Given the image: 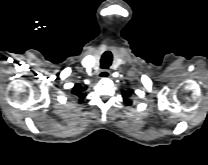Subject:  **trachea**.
<instances>
[{
  "mask_svg": "<svg viewBox=\"0 0 208 165\" xmlns=\"http://www.w3.org/2000/svg\"><path fill=\"white\" fill-rule=\"evenodd\" d=\"M111 64V61L108 59H103L101 60V68L107 69Z\"/></svg>",
  "mask_w": 208,
  "mask_h": 165,
  "instance_id": "trachea-1",
  "label": "trachea"
}]
</instances>
